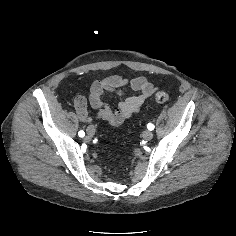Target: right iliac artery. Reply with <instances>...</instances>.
<instances>
[{"instance_id": "right-iliac-artery-1", "label": "right iliac artery", "mask_w": 236, "mask_h": 236, "mask_svg": "<svg viewBox=\"0 0 236 236\" xmlns=\"http://www.w3.org/2000/svg\"><path fill=\"white\" fill-rule=\"evenodd\" d=\"M78 135H79V137H84L85 133H84V131L81 130V131L78 132Z\"/></svg>"}]
</instances>
